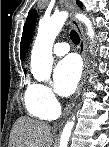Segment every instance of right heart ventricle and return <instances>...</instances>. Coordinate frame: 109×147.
I'll use <instances>...</instances> for the list:
<instances>
[{"label": "right heart ventricle", "mask_w": 109, "mask_h": 147, "mask_svg": "<svg viewBox=\"0 0 109 147\" xmlns=\"http://www.w3.org/2000/svg\"><path fill=\"white\" fill-rule=\"evenodd\" d=\"M35 84H29L25 91L24 103L28 113L35 118L49 120L51 117H56L57 111H48L41 107L32 99V91Z\"/></svg>", "instance_id": "right-heart-ventricle-1"}]
</instances>
